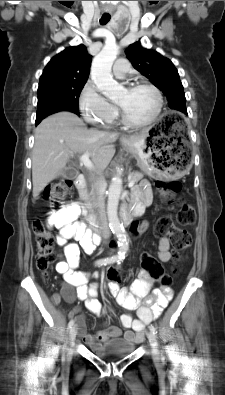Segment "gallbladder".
Wrapping results in <instances>:
<instances>
[{"mask_svg": "<svg viewBox=\"0 0 225 395\" xmlns=\"http://www.w3.org/2000/svg\"><path fill=\"white\" fill-rule=\"evenodd\" d=\"M78 175V171L72 166L68 165L62 172L61 176L67 179H73Z\"/></svg>", "mask_w": 225, "mask_h": 395, "instance_id": "obj_1", "label": "gallbladder"}]
</instances>
